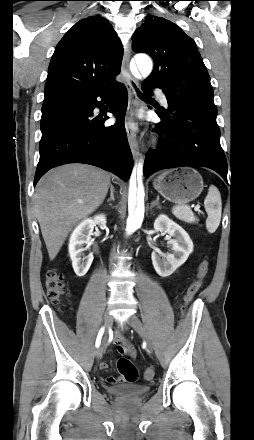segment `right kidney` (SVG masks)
I'll use <instances>...</instances> for the list:
<instances>
[{
    "mask_svg": "<svg viewBox=\"0 0 254 440\" xmlns=\"http://www.w3.org/2000/svg\"><path fill=\"white\" fill-rule=\"evenodd\" d=\"M106 224V217L103 214L88 218L79 223L73 230L69 240V254L72 260V266L77 276H84L89 270L93 255L83 256L84 245H91V235L96 225L103 226Z\"/></svg>",
    "mask_w": 254,
    "mask_h": 440,
    "instance_id": "obj_1",
    "label": "right kidney"
}]
</instances>
